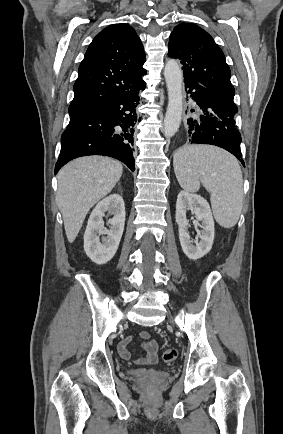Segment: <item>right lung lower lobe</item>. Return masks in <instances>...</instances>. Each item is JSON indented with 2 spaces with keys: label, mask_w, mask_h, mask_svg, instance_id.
<instances>
[{
  "label": "right lung lower lobe",
  "mask_w": 283,
  "mask_h": 434,
  "mask_svg": "<svg viewBox=\"0 0 283 434\" xmlns=\"http://www.w3.org/2000/svg\"><path fill=\"white\" fill-rule=\"evenodd\" d=\"M139 87L125 95L70 115V122L61 136V152L55 173L70 160L87 155H104L125 163L135 170L133 158L134 126L137 121Z\"/></svg>",
  "instance_id": "1"
}]
</instances>
